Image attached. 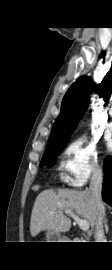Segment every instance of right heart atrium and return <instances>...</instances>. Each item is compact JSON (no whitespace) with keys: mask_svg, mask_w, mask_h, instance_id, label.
Listing matches in <instances>:
<instances>
[{"mask_svg":"<svg viewBox=\"0 0 112 270\" xmlns=\"http://www.w3.org/2000/svg\"><path fill=\"white\" fill-rule=\"evenodd\" d=\"M60 168L67 185L84 186L102 172L96 145L84 138L74 139L63 150Z\"/></svg>","mask_w":112,"mask_h":270,"instance_id":"obj_1","label":"right heart atrium"}]
</instances>
